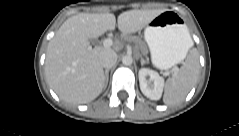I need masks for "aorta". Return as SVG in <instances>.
Listing matches in <instances>:
<instances>
[{
  "mask_svg": "<svg viewBox=\"0 0 239 136\" xmlns=\"http://www.w3.org/2000/svg\"><path fill=\"white\" fill-rule=\"evenodd\" d=\"M132 62H133V58H132L130 55H125V56H123V58H122V63H123L124 65L129 66V65L132 64Z\"/></svg>",
  "mask_w": 239,
  "mask_h": 136,
  "instance_id": "obj_1",
  "label": "aorta"
}]
</instances>
